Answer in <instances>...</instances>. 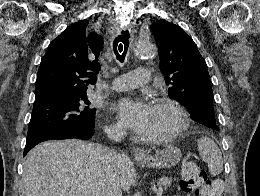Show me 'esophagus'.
I'll list each match as a JSON object with an SVG mask.
<instances>
[{"instance_id":"obj_1","label":"esophagus","mask_w":260,"mask_h":196,"mask_svg":"<svg viewBox=\"0 0 260 196\" xmlns=\"http://www.w3.org/2000/svg\"><path fill=\"white\" fill-rule=\"evenodd\" d=\"M123 30L125 31L127 29L123 28ZM129 34H130V38L132 39L133 38L132 33ZM133 152H134L135 159H146L148 157L147 153L142 148H134Z\"/></svg>"}]
</instances>
